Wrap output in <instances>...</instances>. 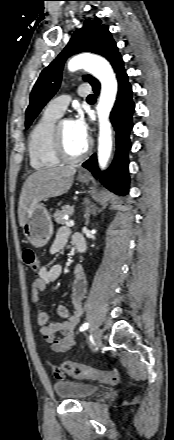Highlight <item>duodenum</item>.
Segmentation results:
<instances>
[{
  "mask_svg": "<svg viewBox=\"0 0 174 440\" xmlns=\"http://www.w3.org/2000/svg\"><path fill=\"white\" fill-rule=\"evenodd\" d=\"M77 236L78 238L76 239L75 246L80 252L83 253L86 251L85 239L82 235H77Z\"/></svg>",
  "mask_w": 174,
  "mask_h": 440,
  "instance_id": "1",
  "label": "duodenum"
}]
</instances>
